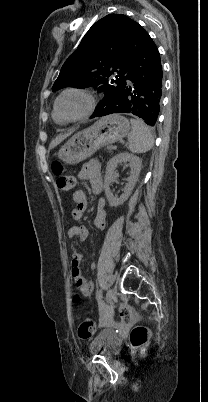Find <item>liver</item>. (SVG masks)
<instances>
[{"label":"liver","instance_id":"6515ba94","mask_svg":"<svg viewBox=\"0 0 208 402\" xmlns=\"http://www.w3.org/2000/svg\"><path fill=\"white\" fill-rule=\"evenodd\" d=\"M72 132H74V130H72ZM72 132H68V134H63V136H57V138H55V140H52L51 144H50V150H52V148H55V146H58V144H61V142H63V140H65V138H68V136H71Z\"/></svg>","mask_w":208,"mask_h":402}]
</instances>
